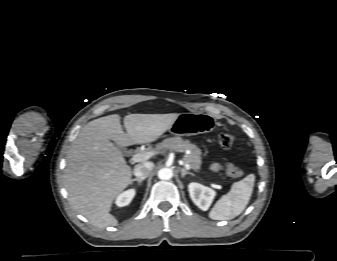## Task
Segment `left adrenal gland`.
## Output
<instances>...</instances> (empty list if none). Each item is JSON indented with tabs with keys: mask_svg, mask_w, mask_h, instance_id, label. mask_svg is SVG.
Wrapping results in <instances>:
<instances>
[{
	"mask_svg": "<svg viewBox=\"0 0 337 261\" xmlns=\"http://www.w3.org/2000/svg\"><path fill=\"white\" fill-rule=\"evenodd\" d=\"M180 172H181V177L184 178L186 175H191V176H194L193 173L187 171L186 169L184 168H180Z\"/></svg>",
	"mask_w": 337,
	"mask_h": 261,
	"instance_id": "obj_1",
	"label": "left adrenal gland"
}]
</instances>
